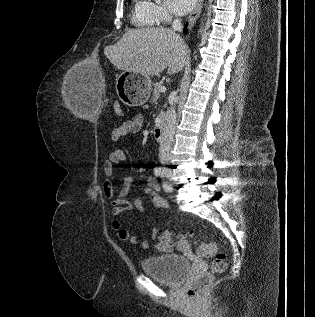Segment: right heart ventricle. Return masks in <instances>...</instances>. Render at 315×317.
<instances>
[{"label":"right heart ventricle","mask_w":315,"mask_h":317,"mask_svg":"<svg viewBox=\"0 0 315 317\" xmlns=\"http://www.w3.org/2000/svg\"><path fill=\"white\" fill-rule=\"evenodd\" d=\"M131 22L140 28L152 27L158 23L152 5L148 0H133Z\"/></svg>","instance_id":"e07e8e85"}]
</instances>
